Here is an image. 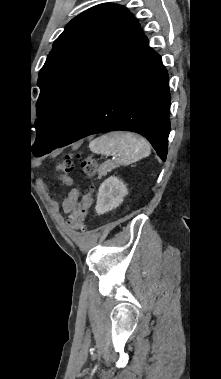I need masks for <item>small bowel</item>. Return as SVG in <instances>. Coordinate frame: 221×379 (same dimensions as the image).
<instances>
[{"mask_svg": "<svg viewBox=\"0 0 221 379\" xmlns=\"http://www.w3.org/2000/svg\"><path fill=\"white\" fill-rule=\"evenodd\" d=\"M78 198L79 191L77 189H72L63 200L62 206L64 212L70 213L78 203Z\"/></svg>", "mask_w": 221, "mask_h": 379, "instance_id": "c3829d8e", "label": "small bowel"}]
</instances>
